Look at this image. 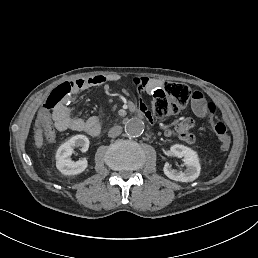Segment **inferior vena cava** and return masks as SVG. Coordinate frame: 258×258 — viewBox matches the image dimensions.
<instances>
[{
	"mask_svg": "<svg viewBox=\"0 0 258 258\" xmlns=\"http://www.w3.org/2000/svg\"><path fill=\"white\" fill-rule=\"evenodd\" d=\"M122 126L120 125H117V126H114L112 127L110 130H109V133H108V136L109 137H116V136H119L121 133H122Z\"/></svg>",
	"mask_w": 258,
	"mask_h": 258,
	"instance_id": "602c4592",
	"label": "inferior vena cava"
}]
</instances>
